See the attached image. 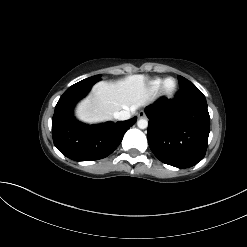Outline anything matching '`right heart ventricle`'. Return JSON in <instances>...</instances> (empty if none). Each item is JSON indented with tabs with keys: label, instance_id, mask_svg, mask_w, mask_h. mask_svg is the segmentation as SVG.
Returning <instances> with one entry per match:
<instances>
[{
	"label": "right heart ventricle",
	"instance_id": "e07e8e85",
	"mask_svg": "<svg viewBox=\"0 0 247 247\" xmlns=\"http://www.w3.org/2000/svg\"><path fill=\"white\" fill-rule=\"evenodd\" d=\"M163 81L164 80L161 78H157V79H154L153 81H151L150 90L152 92L158 91L162 87Z\"/></svg>",
	"mask_w": 247,
	"mask_h": 247
}]
</instances>
